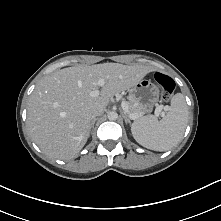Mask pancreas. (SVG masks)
Instances as JSON below:
<instances>
[{
	"mask_svg": "<svg viewBox=\"0 0 221 221\" xmlns=\"http://www.w3.org/2000/svg\"><path fill=\"white\" fill-rule=\"evenodd\" d=\"M128 104V114H137V115H142L144 112L140 106V104L131 96L129 97V102Z\"/></svg>",
	"mask_w": 221,
	"mask_h": 221,
	"instance_id": "1",
	"label": "pancreas"
}]
</instances>
